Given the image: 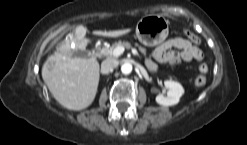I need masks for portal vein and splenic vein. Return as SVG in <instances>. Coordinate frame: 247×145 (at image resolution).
Returning <instances> with one entry per match:
<instances>
[{"instance_id": "1", "label": "portal vein and splenic vein", "mask_w": 247, "mask_h": 145, "mask_svg": "<svg viewBox=\"0 0 247 145\" xmlns=\"http://www.w3.org/2000/svg\"><path fill=\"white\" fill-rule=\"evenodd\" d=\"M124 50H125L124 47H116V48L113 50L112 55L115 56V57H118V56H120L121 54H123ZM132 53H133L134 55H136V54H137L136 49H133V50H132Z\"/></svg>"}]
</instances>
